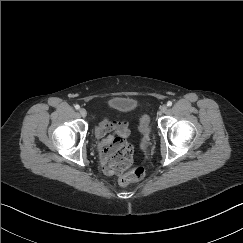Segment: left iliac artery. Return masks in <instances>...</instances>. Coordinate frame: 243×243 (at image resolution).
I'll use <instances>...</instances> for the list:
<instances>
[{
    "label": "left iliac artery",
    "mask_w": 243,
    "mask_h": 243,
    "mask_svg": "<svg viewBox=\"0 0 243 243\" xmlns=\"http://www.w3.org/2000/svg\"><path fill=\"white\" fill-rule=\"evenodd\" d=\"M167 106H169V107L172 106V102L171 101H168L167 102Z\"/></svg>",
    "instance_id": "left-iliac-artery-1"
}]
</instances>
